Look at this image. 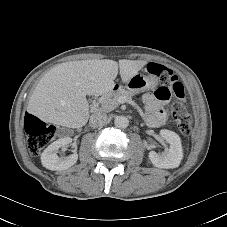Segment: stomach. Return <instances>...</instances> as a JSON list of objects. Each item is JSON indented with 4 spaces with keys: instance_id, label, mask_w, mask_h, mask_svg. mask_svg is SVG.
<instances>
[{
    "instance_id": "1",
    "label": "stomach",
    "mask_w": 227,
    "mask_h": 227,
    "mask_svg": "<svg viewBox=\"0 0 227 227\" xmlns=\"http://www.w3.org/2000/svg\"><path fill=\"white\" fill-rule=\"evenodd\" d=\"M157 82V78L153 75L145 76L137 73L126 83V88L136 94L153 89L156 87Z\"/></svg>"
}]
</instances>
